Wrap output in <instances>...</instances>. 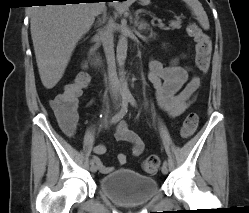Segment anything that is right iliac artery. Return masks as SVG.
Listing matches in <instances>:
<instances>
[{
	"label": "right iliac artery",
	"instance_id": "obj_1",
	"mask_svg": "<svg viewBox=\"0 0 249 213\" xmlns=\"http://www.w3.org/2000/svg\"><path fill=\"white\" fill-rule=\"evenodd\" d=\"M127 109H128V100L127 99H123L122 100V104H121V109L119 112H117L112 119L110 120V124H115L117 123L119 120H121L125 114L127 113ZM95 160L92 159L90 161V164H94Z\"/></svg>",
	"mask_w": 249,
	"mask_h": 213
}]
</instances>
